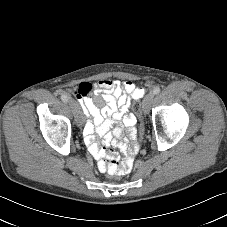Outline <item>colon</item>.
<instances>
[{"instance_id": "5ec220e1", "label": "colon", "mask_w": 227, "mask_h": 227, "mask_svg": "<svg viewBox=\"0 0 227 227\" xmlns=\"http://www.w3.org/2000/svg\"><path fill=\"white\" fill-rule=\"evenodd\" d=\"M134 111L136 112V115H137L136 118L141 121L140 122L141 128L138 131H139L140 137L143 139L145 137L144 132H143L144 131L143 128L145 127L144 126L145 119L143 117H141L139 104L135 105ZM98 163H100L101 165L104 166L105 171H107V173L110 176L118 177L124 173H127L131 169L132 158L129 157V158H127V160L124 164H119L117 158L115 157V155L113 153H107L102 156L101 160Z\"/></svg>"}]
</instances>
